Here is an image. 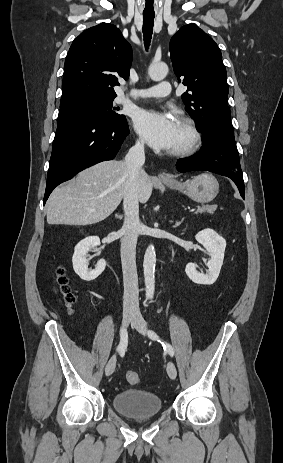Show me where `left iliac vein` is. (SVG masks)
Returning <instances> with one entry per match:
<instances>
[{
	"mask_svg": "<svg viewBox=\"0 0 283 463\" xmlns=\"http://www.w3.org/2000/svg\"><path fill=\"white\" fill-rule=\"evenodd\" d=\"M132 324L142 335L147 333V322L140 312L135 313V316L132 319ZM167 373L171 379H175L177 376L176 366L172 361L167 364Z\"/></svg>",
	"mask_w": 283,
	"mask_h": 463,
	"instance_id": "obj_1",
	"label": "left iliac vein"
}]
</instances>
